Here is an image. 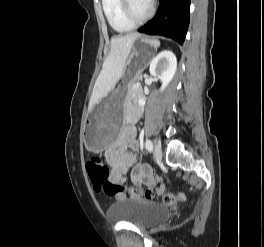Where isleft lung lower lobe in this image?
<instances>
[{
	"label": "left lung lower lobe",
	"mask_w": 264,
	"mask_h": 247,
	"mask_svg": "<svg viewBox=\"0 0 264 247\" xmlns=\"http://www.w3.org/2000/svg\"><path fill=\"white\" fill-rule=\"evenodd\" d=\"M189 9L190 0H161L155 16L138 31L165 36L182 45L190 22Z\"/></svg>",
	"instance_id": "obj_1"
}]
</instances>
